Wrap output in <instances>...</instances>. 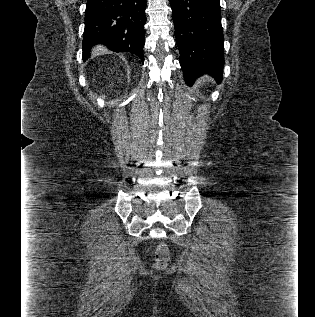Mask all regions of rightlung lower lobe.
I'll return each mask as SVG.
<instances>
[{
	"instance_id": "obj_1",
	"label": "right lung lower lobe",
	"mask_w": 315,
	"mask_h": 317,
	"mask_svg": "<svg viewBox=\"0 0 315 317\" xmlns=\"http://www.w3.org/2000/svg\"><path fill=\"white\" fill-rule=\"evenodd\" d=\"M146 0H88L83 34V60L98 43L115 52H131L143 62Z\"/></svg>"
}]
</instances>
